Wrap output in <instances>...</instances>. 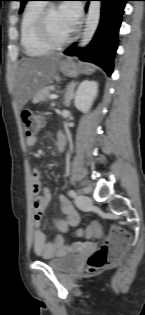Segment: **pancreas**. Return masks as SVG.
<instances>
[{
    "label": "pancreas",
    "mask_w": 145,
    "mask_h": 315,
    "mask_svg": "<svg viewBox=\"0 0 145 315\" xmlns=\"http://www.w3.org/2000/svg\"><path fill=\"white\" fill-rule=\"evenodd\" d=\"M52 91V87H44L37 95V98L46 101L49 99L50 93Z\"/></svg>",
    "instance_id": "obj_1"
}]
</instances>
